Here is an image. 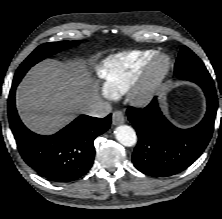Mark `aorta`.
<instances>
[{
  "label": "aorta",
  "mask_w": 222,
  "mask_h": 219,
  "mask_svg": "<svg viewBox=\"0 0 222 219\" xmlns=\"http://www.w3.org/2000/svg\"><path fill=\"white\" fill-rule=\"evenodd\" d=\"M114 133L117 141L124 146L131 147L137 142L136 132L128 125L118 126Z\"/></svg>",
  "instance_id": "aorta-1"
}]
</instances>
